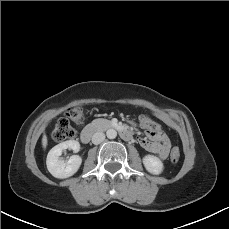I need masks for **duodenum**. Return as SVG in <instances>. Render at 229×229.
<instances>
[{"label": "duodenum", "instance_id": "410a0bca", "mask_svg": "<svg viewBox=\"0 0 229 229\" xmlns=\"http://www.w3.org/2000/svg\"><path fill=\"white\" fill-rule=\"evenodd\" d=\"M110 128L112 129H119L120 136L125 139V140H130L131 139V134L129 130L125 127H120L117 123H112L109 125ZM98 128L95 125H88L86 126L80 135L81 141L83 143H88L91 138L97 133Z\"/></svg>", "mask_w": 229, "mask_h": 229}]
</instances>
